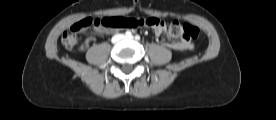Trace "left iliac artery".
Returning <instances> with one entry per match:
<instances>
[{
  "mask_svg": "<svg viewBox=\"0 0 276 120\" xmlns=\"http://www.w3.org/2000/svg\"><path fill=\"white\" fill-rule=\"evenodd\" d=\"M135 39L138 41V40H140V36L139 35H136L135 36Z\"/></svg>",
  "mask_w": 276,
  "mask_h": 120,
  "instance_id": "left-iliac-artery-1",
  "label": "left iliac artery"
}]
</instances>
